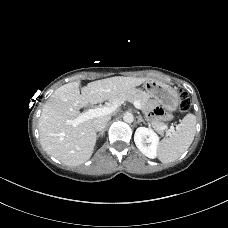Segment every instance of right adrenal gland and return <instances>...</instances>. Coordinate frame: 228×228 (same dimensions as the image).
<instances>
[{"instance_id":"2a0ac1e0","label":"right adrenal gland","mask_w":228,"mask_h":228,"mask_svg":"<svg viewBox=\"0 0 228 228\" xmlns=\"http://www.w3.org/2000/svg\"><path fill=\"white\" fill-rule=\"evenodd\" d=\"M104 133H105V129L102 130V131L97 135V138H99L100 136L103 137Z\"/></svg>"}]
</instances>
